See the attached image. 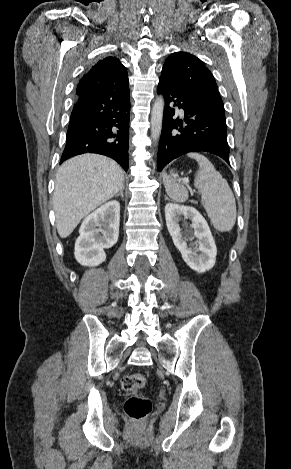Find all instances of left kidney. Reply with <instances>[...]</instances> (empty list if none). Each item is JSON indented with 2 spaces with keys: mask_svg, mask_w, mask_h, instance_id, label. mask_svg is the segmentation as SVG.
<instances>
[{
  "mask_svg": "<svg viewBox=\"0 0 291 469\" xmlns=\"http://www.w3.org/2000/svg\"><path fill=\"white\" fill-rule=\"evenodd\" d=\"M189 219L192 221L191 234L182 233L179 221ZM165 218L167 229L176 248L181 252L186 264L198 273H204L215 265L217 248L205 218L193 207L175 203L165 206ZM191 236L198 239L192 246L187 245ZM199 252V253H198Z\"/></svg>",
  "mask_w": 291,
  "mask_h": 469,
  "instance_id": "5707ae66",
  "label": "left kidney"
}]
</instances>
